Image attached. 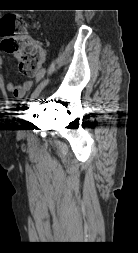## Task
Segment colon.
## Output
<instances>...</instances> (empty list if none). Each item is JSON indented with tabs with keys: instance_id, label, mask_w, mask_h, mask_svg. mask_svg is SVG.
<instances>
[{
	"instance_id": "5ec220e1",
	"label": "colon",
	"mask_w": 138,
	"mask_h": 253,
	"mask_svg": "<svg viewBox=\"0 0 138 253\" xmlns=\"http://www.w3.org/2000/svg\"><path fill=\"white\" fill-rule=\"evenodd\" d=\"M2 49L16 55L22 74L35 76L45 60L44 47L28 36L26 24L17 15H5L0 19Z\"/></svg>"
}]
</instances>
